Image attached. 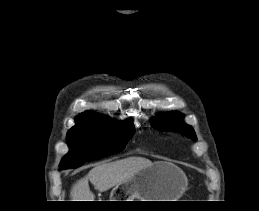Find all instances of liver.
Wrapping results in <instances>:
<instances>
[{"label":"liver","mask_w":259,"mask_h":211,"mask_svg":"<svg viewBox=\"0 0 259 211\" xmlns=\"http://www.w3.org/2000/svg\"><path fill=\"white\" fill-rule=\"evenodd\" d=\"M152 164L146 158L129 157L96 165L84 178H81L74 184L71 190L72 201H94L95 196L90 191L89 181L98 191H107Z\"/></svg>","instance_id":"obj_1"}]
</instances>
